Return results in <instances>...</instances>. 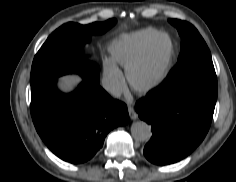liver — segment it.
<instances>
[{"instance_id":"1","label":"liver","mask_w":236,"mask_h":182,"mask_svg":"<svg viewBox=\"0 0 236 182\" xmlns=\"http://www.w3.org/2000/svg\"><path fill=\"white\" fill-rule=\"evenodd\" d=\"M80 81L78 76H64L61 78V86L64 90H71Z\"/></svg>"}]
</instances>
